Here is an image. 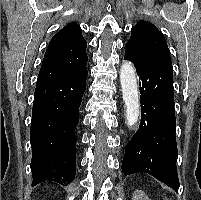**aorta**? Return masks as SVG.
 I'll list each match as a JSON object with an SVG mask.
<instances>
[{
    "label": "aorta",
    "mask_w": 201,
    "mask_h": 200,
    "mask_svg": "<svg viewBox=\"0 0 201 200\" xmlns=\"http://www.w3.org/2000/svg\"><path fill=\"white\" fill-rule=\"evenodd\" d=\"M120 83L126 109V120L133 127L140 115L139 92L135 68L129 61H124L120 69Z\"/></svg>",
    "instance_id": "762f6f07"
}]
</instances>
